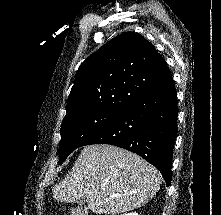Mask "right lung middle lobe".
<instances>
[{
  "label": "right lung middle lobe",
  "instance_id": "right-lung-middle-lobe-1",
  "mask_svg": "<svg viewBox=\"0 0 221 215\" xmlns=\"http://www.w3.org/2000/svg\"><path fill=\"white\" fill-rule=\"evenodd\" d=\"M120 114L102 109H89L66 115L60 132V164L75 149L83 146L90 138L113 123Z\"/></svg>",
  "mask_w": 221,
  "mask_h": 215
}]
</instances>
